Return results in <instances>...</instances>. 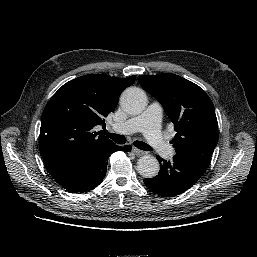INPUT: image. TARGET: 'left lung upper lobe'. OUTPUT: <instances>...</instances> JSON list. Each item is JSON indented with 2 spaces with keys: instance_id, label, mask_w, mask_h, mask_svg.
<instances>
[{
  "instance_id": "obj_1",
  "label": "left lung upper lobe",
  "mask_w": 257,
  "mask_h": 257,
  "mask_svg": "<svg viewBox=\"0 0 257 257\" xmlns=\"http://www.w3.org/2000/svg\"><path fill=\"white\" fill-rule=\"evenodd\" d=\"M138 81L160 101L173 122L176 154L207 168L218 141V123L206 92L175 74L139 76Z\"/></svg>"
}]
</instances>
